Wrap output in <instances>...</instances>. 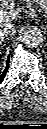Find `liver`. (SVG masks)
<instances>
[{
	"label": "liver",
	"instance_id": "liver-1",
	"mask_svg": "<svg viewBox=\"0 0 47 129\" xmlns=\"http://www.w3.org/2000/svg\"><path fill=\"white\" fill-rule=\"evenodd\" d=\"M3 20H4V19H2V18L0 17V21H1V23H3Z\"/></svg>",
	"mask_w": 47,
	"mask_h": 129
}]
</instances>
